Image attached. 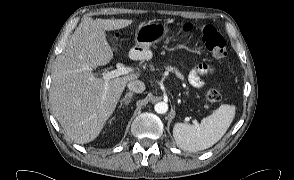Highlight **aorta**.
<instances>
[{"label":"aorta","instance_id":"obj_1","mask_svg":"<svg viewBox=\"0 0 294 180\" xmlns=\"http://www.w3.org/2000/svg\"><path fill=\"white\" fill-rule=\"evenodd\" d=\"M168 103L167 102H158L155 104L154 109L158 114H165L168 111Z\"/></svg>","mask_w":294,"mask_h":180}]
</instances>
